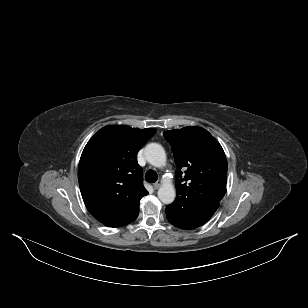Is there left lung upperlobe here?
Returning <instances> with one entry per match:
<instances>
[{"mask_svg": "<svg viewBox=\"0 0 308 308\" xmlns=\"http://www.w3.org/2000/svg\"><path fill=\"white\" fill-rule=\"evenodd\" d=\"M163 134L172 146L177 165V197L166 206L167 212L185 216L219 204L227 181V159L219 142L201 127Z\"/></svg>", "mask_w": 308, "mask_h": 308, "instance_id": "left-lung-upper-lobe-1", "label": "left lung upper lobe"}]
</instances>
